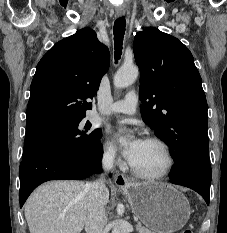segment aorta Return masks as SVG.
<instances>
[{"label":"aorta","instance_id":"aorta-1","mask_svg":"<svg viewBox=\"0 0 227 233\" xmlns=\"http://www.w3.org/2000/svg\"><path fill=\"white\" fill-rule=\"evenodd\" d=\"M138 77V68L135 66L121 67L114 76V86L125 88L132 85ZM112 233H121L117 223L112 225Z\"/></svg>","mask_w":227,"mask_h":233}]
</instances>
